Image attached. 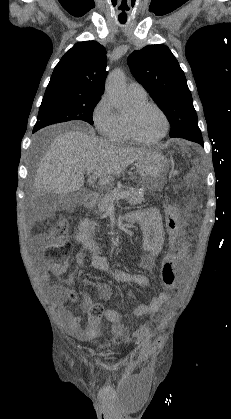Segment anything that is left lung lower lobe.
Masks as SVG:
<instances>
[{"mask_svg":"<svg viewBox=\"0 0 231 419\" xmlns=\"http://www.w3.org/2000/svg\"><path fill=\"white\" fill-rule=\"evenodd\" d=\"M184 139L197 142V143H199L200 145L203 146L202 135H195V136L187 137V138H184Z\"/></svg>","mask_w":231,"mask_h":419,"instance_id":"0a47b994","label":"left lung lower lobe"}]
</instances>
